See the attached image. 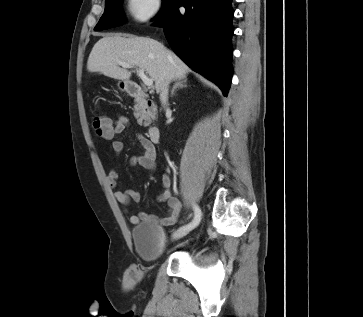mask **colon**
Masks as SVG:
<instances>
[{
  "label": "colon",
  "mask_w": 363,
  "mask_h": 317,
  "mask_svg": "<svg viewBox=\"0 0 363 317\" xmlns=\"http://www.w3.org/2000/svg\"><path fill=\"white\" fill-rule=\"evenodd\" d=\"M92 126L99 134L100 132L109 130L111 123L108 118L101 115H96L92 120Z\"/></svg>",
  "instance_id": "5ec220e1"
}]
</instances>
